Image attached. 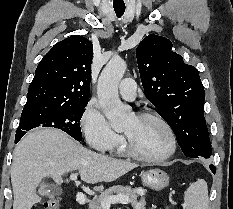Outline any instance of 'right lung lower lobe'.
<instances>
[{
	"mask_svg": "<svg viewBox=\"0 0 233 209\" xmlns=\"http://www.w3.org/2000/svg\"><path fill=\"white\" fill-rule=\"evenodd\" d=\"M23 136L15 137V143H17Z\"/></svg>",
	"mask_w": 233,
	"mask_h": 209,
	"instance_id": "right-lung-lower-lobe-1",
	"label": "right lung lower lobe"
}]
</instances>
